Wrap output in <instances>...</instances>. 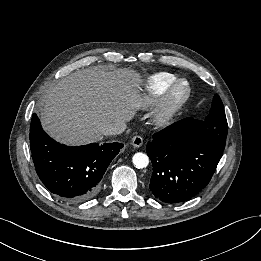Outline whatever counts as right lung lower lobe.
Masks as SVG:
<instances>
[{"instance_id": "1", "label": "right lung lower lobe", "mask_w": 261, "mask_h": 261, "mask_svg": "<svg viewBox=\"0 0 261 261\" xmlns=\"http://www.w3.org/2000/svg\"><path fill=\"white\" fill-rule=\"evenodd\" d=\"M124 145L92 143L68 147L50 138L36 114L30 125V148L36 172L55 195L68 201H84L99 190L101 179Z\"/></svg>"}]
</instances>
